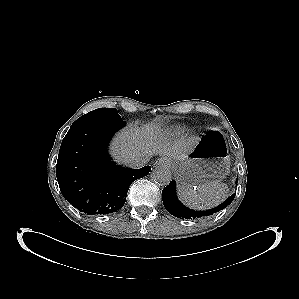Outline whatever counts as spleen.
<instances>
[{"label": "spleen", "instance_id": "obj_1", "mask_svg": "<svg viewBox=\"0 0 299 299\" xmlns=\"http://www.w3.org/2000/svg\"><path fill=\"white\" fill-rule=\"evenodd\" d=\"M178 194L190 208L203 210L222 203L229 195V188L220 181H210L198 187L181 185Z\"/></svg>", "mask_w": 299, "mask_h": 299}]
</instances>
